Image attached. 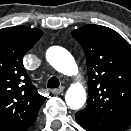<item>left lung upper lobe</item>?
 I'll return each mask as SVG.
<instances>
[{
    "label": "left lung upper lobe",
    "mask_w": 131,
    "mask_h": 131,
    "mask_svg": "<svg viewBox=\"0 0 131 131\" xmlns=\"http://www.w3.org/2000/svg\"><path fill=\"white\" fill-rule=\"evenodd\" d=\"M84 49L89 99L77 117L90 131H124L131 124V46L114 30L86 25L72 32Z\"/></svg>",
    "instance_id": "1"
}]
</instances>
